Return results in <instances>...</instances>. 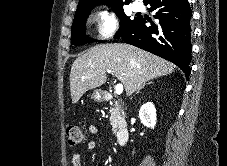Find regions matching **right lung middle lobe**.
Instances as JSON below:
<instances>
[{"mask_svg":"<svg viewBox=\"0 0 227 166\" xmlns=\"http://www.w3.org/2000/svg\"><path fill=\"white\" fill-rule=\"evenodd\" d=\"M91 9L76 11L74 21L71 28V44L75 46L84 45L86 43L93 42V39L89 38L85 34L86 20L89 16ZM112 10L121 19L119 31L116 34V38L120 37L128 28L136 23L139 17L131 20L124 14L122 6L113 7Z\"/></svg>","mask_w":227,"mask_h":166,"instance_id":"right-lung-middle-lobe-1","label":"right lung middle lobe"}]
</instances>
